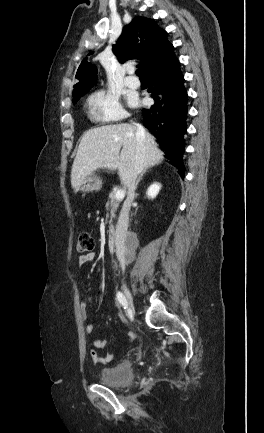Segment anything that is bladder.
<instances>
[{
  "label": "bladder",
  "mask_w": 264,
  "mask_h": 433,
  "mask_svg": "<svg viewBox=\"0 0 264 433\" xmlns=\"http://www.w3.org/2000/svg\"><path fill=\"white\" fill-rule=\"evenodd\" d=\"M133 379V365L131 362H123L110 368H104L100 372V382L110 387H126Z\"/></svg>",
  "instance_id": "1"
}]
</instances>
